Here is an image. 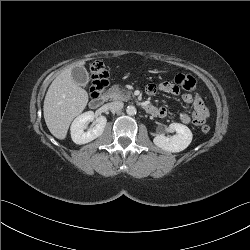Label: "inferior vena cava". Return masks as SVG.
I'll return each mask as SVG.
<instances>
[{
  "instance_id": "obj_1",
  "label": "inferior vena cava",
  "mask_w": 250,
  "mask_h": 250,
  "mask_svg": "<svg viewBox=\"0 0 250 250\" xmlns=\"http://www.w3.org/2000/svg\"><path fill=\"white\" fill-rule=\"evenodd\" d=\"M124 104L121 101H114L107 104L108 109L111 112H118L123 108Z\"/></svg>"
}]
</instances>
